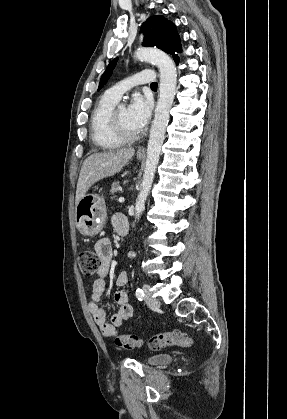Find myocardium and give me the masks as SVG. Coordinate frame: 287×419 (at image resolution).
<instances>
[{"mask_svg":"<svg viewBox=\"0 0 287 419\" xmlns=\"http://www.w3.org/2000/svg\"><path fill=\"white\" fill-rule=\"evenodd\" d=\"M118 108L119 107H115L109 116V124L112 133L122 143H129L137 140L139 138L138 133L129 134L123 130L117 115Z\"/></svg>","mask_w":287,"mask_h":419,"instance_id":"f54148a6","label":"myocardium"}]
</instances>
